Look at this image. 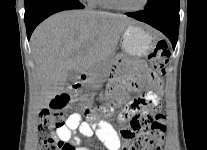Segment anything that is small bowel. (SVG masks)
<instances>
[{
    "instance_id": "small-bowel-1",
    "label": "small bowel",
    "mask_w": 207,
    "mask_h": 150,
    "mask_svg": "<svg viewBox=\"0 0 207 150\" xmlns=\"http://www.w3.org/2000/svg\"><path fill=\"white\" fill-rule=\"evenodd\" d=\"M140 70L142 76L136 79H118L114 81L113 88L108 93V107L110 109L118 108L126 104L124 113H127L130 116H138L137 113L141 111V107L139 105L137 107L129 106V103L134 102L136 99L128 101L127 96L124 93H121L120 89L123 86L141 89L145 79L152 77V74L149 73L143 65L140 66ZM157 92L158 95L156 96V99H160V96L162 95L161 87H158ZM139 99L141 98H138L137 100L139 101ZM129 126L130 123L127 127ZM76 131L85 138H90L93 135H96L108 150H119L121 147V137L112 124L104 120L96 119L82 121L81 116L78 113L69 115L65 124L56 129L55 135L60 141L71 144L73 150H90L88 147L80 145V138L75 135Z\"/></svg>"
}]
</instances>
